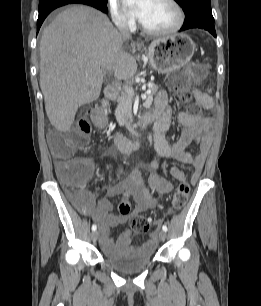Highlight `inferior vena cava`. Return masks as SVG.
<instances>
[{
	"mask_svg": "<svg viewBox=\"0 0 261 306\" xmlns=\"http://www.w3.org/2000/svg\"><path fill=\"white\" fill-rule=\"evenodd\" d=\"M115 25L117 26L120 35L122 36L123 39H130L131 38V34H130V30L128 27V24L125 20L123 19H115Z\"/></svg>",
	"mask_w": 261,
	"mask_h": 306,
	"instance_id": "602c4592",
	"label": "inferior vena cava"
}]
</instances>
